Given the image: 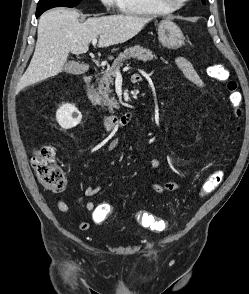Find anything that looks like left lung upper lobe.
Here are the masks:
<instances>
[{"instance_id": "obj_1", "label": "left lung upper lobe", "mask_w": 249, "mask_h": 294, "mask_svg": "<svg viewBox=\"0 0 249 294\" xmlns=\"http://www.w3.org/2000/svg\"><path fill=\"white\" fill-rule=\"evenodd\" d=\"M202 2L205 4V0H202Z\"/></svg>"}]
</instances>
